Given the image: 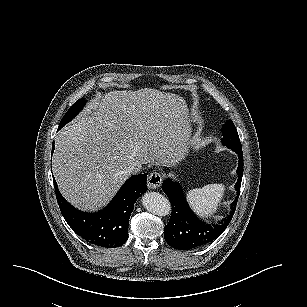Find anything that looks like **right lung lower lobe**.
Segmentation results:
<instances>
[{"label": "right lung lower lobe", "mask_w": 307, "mask_h": 307, "mask_svg": "<svg viewBox=\"0 0 307 307\" xmlns=\"http://www.w3.org/2000/svg\"><path fill=\"white\" fill-rule=\"evenodd\" d=\"M146 179L147 174L129 178L111 203L94 214L83 213L70 205L60 194L55 179L53 180L59 208L73 231L92 245L115 248L128 239L129 218L135 201L147 190Z\"/></svg>", "instance_id": "obj_1"}]
</instances>
